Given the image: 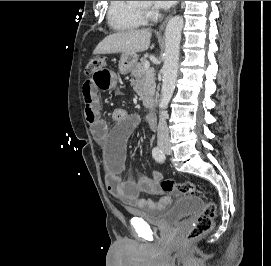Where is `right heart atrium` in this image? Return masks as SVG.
<instances>
[{"label":"right heart atrium","mask_w":271,"mask_h":266,"mask_svg":"<svg viewBox=\"0 0 271 266\" xmlns=\"http://www.w3.org/2000/svg\"><path fill=\"white\" fill-rule=\"evenodd\" d=\"M152 14H153V12H152L151 10H146V11H145L146 17H151Z\"/></svg>","instance_id":"d8ad5b80"}]
</instances>
